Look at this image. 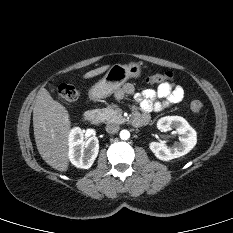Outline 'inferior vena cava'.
Wrapping results in <instances>:
<instances>
[{
	"label": "inferior vena cava",
	"instance_id": "inferior-vena-cava-1",
	"mask_svg": "<svg viewBox=\"0 0 233 233\" xmlns=\"http://www.w3.org/2000/svg\"><path fill=\"white\" fill-rule=\"evenodd\" d=\"M105 129L108 133L114 134L119 131L120 127L117 124H108L106 125Z\"/></svg>",
	"mask_w": 233,
	"mask_h": 233
}]
</instances>
